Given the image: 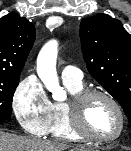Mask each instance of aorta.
<instances>
[{
    "instance_id": "762f6f07",
    "label": "aorta",
    "mask_w": 131,
    "mask_h": 151,
    "mask_svg": "<svg viewBox=\"0 0 131 151\" xmlns=\"http://www.w3.org/2000/svg\"><path fill=\"white\" fill-rule=\"evenodd\" d=\"M57 45L55 42H49L40 51L37 58V73L46 88L52 92L53 97L58 99L59 87L58 76L56 72Z\"/></svg>"
}]
</instances>
